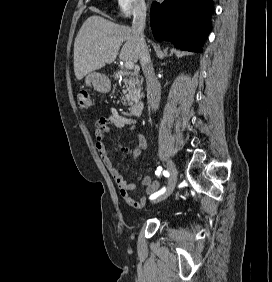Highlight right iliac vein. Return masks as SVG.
<instances>
[{"label":"right iliac vein","mask_w":272,"mask_h":282,"mask_svg":"<svg viewBox=\"0 0 272 282\" xmlns=\"http://www.w3.org/2000/svg\"><path fill=\"white\" fill-rule=\"evenodd\" d=\"M167 167H168V171H169L167 188H166L164 194L153 202L154 204L165 200L174 191V188H175V185H176V182H177L178 171H177L175 164L171 160H168Z\"/></svg>","instance_id":"1"}]
</instances>
